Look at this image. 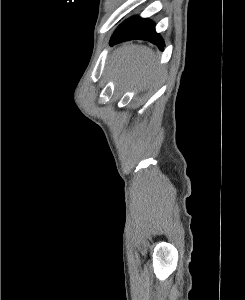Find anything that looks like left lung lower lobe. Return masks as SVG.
I'll return each mask as SVG.
<instances>
[{"instance_id":"left-lung-lower-lobe-1","label":"left lung lower lobe","mask_w":245,"mask_h":300,"mask_svg":"<svg viewBox=\"0 0 245 300\" xmlns=\"http://www.w3.org/2000/svg\"><path fill=\"white\" fill-rule=\"evenodd\" d=\"M133 39L148 40L163 50L164 40L156 33L155 24L149 19L132 17L124 21L114 32L110 45Z\"/></svg>"}]
</instances>
